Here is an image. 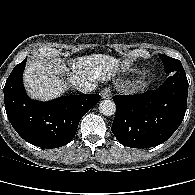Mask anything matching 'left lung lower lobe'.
<instances>
[{
	"label": "left lung lower lobe",
	"instance_id": "left-lung-lower-lobe-1",
	"mask_svg": "<svg viewBox=\"0 0 195 195\" xmlns=\"http://www.w3.org/2000/svg\"><path fill=\"white\" fill-rule=\"evenodd\" d=\"M187 95L185 71L171 73L157 90L115 95L116 115L111 130L117 140L128 147L159 145L180 126L186 112Z\"/></svg>",
	"mask_w": 195,
	"mask_h": 195
}]
</instances>
